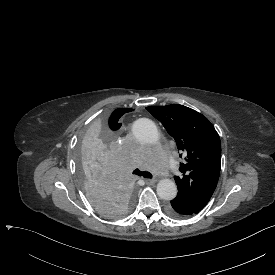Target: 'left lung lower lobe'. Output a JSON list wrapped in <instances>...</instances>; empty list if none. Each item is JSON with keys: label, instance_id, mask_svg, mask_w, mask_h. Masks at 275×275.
Masks as SVG:
<instances>
[{"label": "left lung lower lobe", "instance_id": "obj_1", "mask_svg": "<svg viewBox=\"0 0 275 275\" xmlns=\"http://www.w3.org/2000/svg\"><path fill=\"white\" fill-rule=\"evenodd\" d=\"M203 208L191 205L187 201L179 199H173L171 205L167 206V212L174 218H186L191 215H195L200 212Z\"/></svg>", "mask_w": 275, "mask_h": 275}]
</instances>
